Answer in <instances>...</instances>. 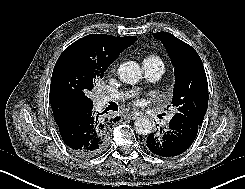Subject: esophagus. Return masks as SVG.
I'll list each match as a JSON object with an SVG mask.
<instances>
[{"instance_id":"1","label":"esophagus","mask_w":245,"mask_h":189,"mask_svg":"<svg viewBox=\"0 0 245 189\" xmlns=\"http://www.w3.org/2000/svg\"><path fill=\"white\" fill-rule=\"evenodd\" d=\"M138 116H139V113L136 111H132V112L127 114V117L130 119H136Z\"/></svg>"}]
</instances>
